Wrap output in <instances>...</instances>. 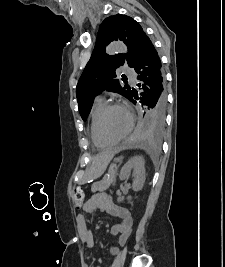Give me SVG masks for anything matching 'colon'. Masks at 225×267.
I'll use <instances>...</instances> for the list:
<instances>
[{
  "instance_id": "5ec220e1",
  "label": "colon",
  "mask_w": 225,
  "mask_h": 267,
  "mask_svg": "<svg viewBox=\"0 0 225 267\" xmlns=\"http://www.w3.org/2000/svg\"><path fill=\"white\" fill-rule=\"evenodd\" d=\"M84 202V192L80 187L74 190V203L76 208L80 209Z\"/></svg>"
}]
</instances>
